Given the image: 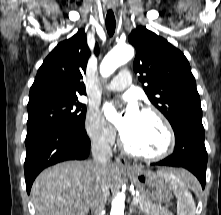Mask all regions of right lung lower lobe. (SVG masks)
Segmentation results:
<instances>
[{
    "instance_id": "1",
    "label": "right lung lower lobe",
    "mask_w": 221,
    "mask_h": 215,
    "mask_svg": "<svg viewBox=\"0 0 221 215\" xmlns=\"http://www.w3.org/2000/svg\"><path fill=\"white\" fill-rule=\"evenodd\" d=\"M24 164L27 193L36 176L46 167L66 160L88 157L90 139L85 128L52 125L27 133Z\"/></svg>"
}]
</instances>
